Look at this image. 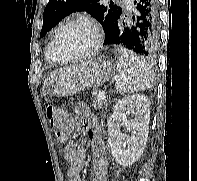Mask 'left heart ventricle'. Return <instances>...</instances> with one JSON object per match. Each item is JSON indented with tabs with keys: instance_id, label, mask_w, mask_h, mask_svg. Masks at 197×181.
Instances as JSON below:
<instances>
[{
	"instance_id": "obj_1",
	"label": "left heart ventricle",
	"mask_w": 197,
	"mask_h": 181,
	"mask_svg": "<svg viewBox=\"0 0 197 181\" xmlns=\"http://www.w3.org/2000/svg\"><path fill=\"white\" fill-rule=\"evenodd\" d=\"M93 42L92 29L84 24H75L61 35L58 43L59 53L62 58L68 59L89 50Z\"/></svg>"
}]
</instances>
